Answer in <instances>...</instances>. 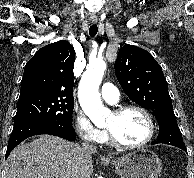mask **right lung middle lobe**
<instances>
[{
    "label": "right lung middle lobe",
    "mask_w": 194,
    "mask_h": 178,
    "mask_svg": "<svg viewBox=\"0 0 194 178\" xmlns=\"http://www.w3.org/2000/svg\"><path fill=\"white\" fill-rule=\"evenodd\" d=\"M74 99L62 96L33 97L18 100L14 124L42 121L61 127H72Z\"/></svg>",
    "instance_id": "right-lung-middle-lobe-1"
}]
</instances>
